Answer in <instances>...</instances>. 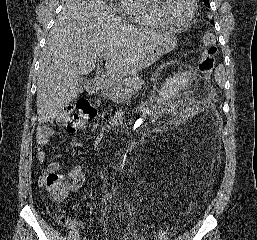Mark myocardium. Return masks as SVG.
<instances>
[{
  "label": "myocardium",
  "mask_w": 257,
  "mask_h": 240,
  "mask_svg": "<svg viewBox=\"0 0 257 240\" xmlns=\"http://www.w3.org/2000/svg\"><path fill=\"white\" fill-rule=\"evenodd\" d=\"M151 2V9L154 13V15L156 16V18L158 20H160L163 24H165L168 27L171 28H182L187 26L192 19L195 17L196 12H197V1L196 0H190L191 3V10L189 15L186 17V19H184L181 22H173L170 21L162 12L161 7H160V0H150Z\"/></svg>",
  "instance_id": "obj_1"
}]
</instances>
